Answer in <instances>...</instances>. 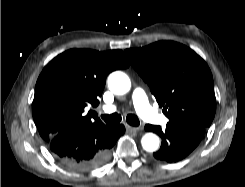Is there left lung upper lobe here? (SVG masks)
Masks as SVG:
<instances>
[{
    "mask_svg": "<svg viewBox=\"0 0 245 187\" xmlns=\"http://www.w3.org/2000/svg\"><path fill=\"white\" fill-rule=\"evenodd\" d=\"M125 54L163 107L167 125H211L216 111L213 77L206 62L193 50L173 41H160L126 49Z\"/></svg>",
    "mask_w": 245,
    "mask_h": 187,
    "instance_id": "obj_1",
    "label": "left lung upper lobe"
}]
</instances>
